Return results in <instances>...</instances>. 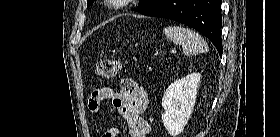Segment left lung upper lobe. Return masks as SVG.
Masks as SVG:
<instances>
[{
    "label": "left lung upper lobe",
    "instance_id": "5c2ea615",
    "mask_svg": "<svg viewBox=\"0 0 280 137\" xmlns=\"http://www.w3.org/2000/svg\"><path fill=\"white\" fill-rule=\"evenodd\" d=\"M162 0H140L139 7L134 8V11L140 12L142 14L146 13L153 7H155L158 3H160ZM93 3V0H87V5H91Z\"/></svg>",
    "mask_w": 280,
    "mask_h": 137
}]
</instances>
